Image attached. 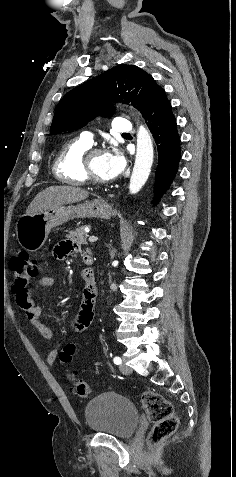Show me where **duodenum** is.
<instances>
[{
    "label": "duodenum",
    "instance_id": "obj_1",
    "mask_svg": "<svg viewBox=\"0 0 236 477\" xmlns=\"http://www.w3.org/2000/svg\"><path fill=\"white\" fill-rule=\"evenodd\" d=\"M86 263H87V265L92 266V265L94 264L93 257L88 258L87 261H86ZM89 283H90L91 285H93V286L95 285V277H94V275H92V276L90 277Z\"/></svg>",
    "mask_w": 236,
    "mask_h": 477
}]
</instances>
